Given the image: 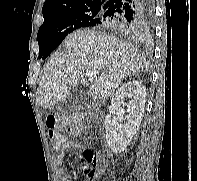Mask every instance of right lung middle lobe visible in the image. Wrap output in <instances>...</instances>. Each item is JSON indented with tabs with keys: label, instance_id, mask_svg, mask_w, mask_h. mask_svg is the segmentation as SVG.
Returning <instances> with one entry per match:
<instances>
[{
	"label": "right lung middle lobe",
	"instance_id": "dd1d6c3e",
	"mask_svg": "<svg viewBox=\"0 0 197 181\" xmlns=\"http://www.w3.org/2000/svg\"><path fill=\"white\" fill-rule=\"evenodd\" d=\"M103 12V5H90L45 17L37 34L39 58L46 59L69 33L87 27L91 20L98 18Z\"/></svg>",
	"mask_w": 197,
	"mask_h": 181
}]
</instances>
